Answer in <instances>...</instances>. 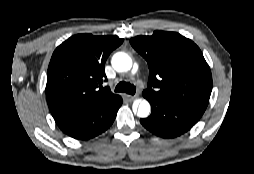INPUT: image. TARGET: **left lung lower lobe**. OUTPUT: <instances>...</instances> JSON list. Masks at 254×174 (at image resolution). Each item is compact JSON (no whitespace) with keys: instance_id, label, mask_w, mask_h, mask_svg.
Segmentation results:
<instances>
[{"instance_id":"1","label":"left lung lower lobe","mask_w":254,"mask_h":174,"mask_svg":"<svg viewBox=\"0 0 254 174\" xmlns=\"http://www.w3.org/2000/svg\"><path fill=\"white\" fill-rule=\"evenodd\" d=\"M152 106L148 118L141 119V124L153 134L163 138H174L189 131L201 118L202 114L177 105H170L163 100L143 95Z\"/></svg>"}]
</instances>
